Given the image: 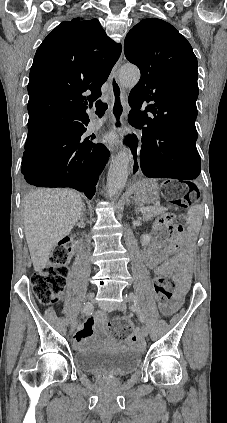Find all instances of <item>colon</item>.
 Returning a JSON list of instances; mask_svg holds the SVG:
<instances>
[{"label":"colon","mask_w":227,"mask_h":423,"mask_svg":"<svg viewBox=\"0 0 227 423\" xmlns=\"http://www.w3.org/2000/svg\"><path fill=\"white\" fill-rule=\"evenodd\" d=\"M164 196L173 204L186 208L191 201L198 196L197 187L188 183L178 186L166 184L163 189ZM182 226L178 224V216L167 213L160 219L159 228L156 231L157 241L171 244L169 233L176 231L181 233ZM78 238L71 241L60 242L53 250L48 264L32 278V292L43 304H51L60 300L65 289L69 275V261L75 251ZM159 302L167 303L175 294L174 284L169 278H158L154 284ZM118 330L124 334L132 330L130 322L124 318L114 321Z\"/></svg>","instance_id":"1"}]
</instances>
